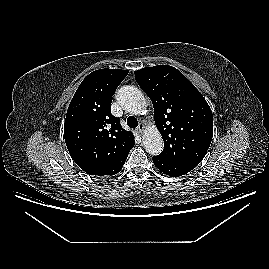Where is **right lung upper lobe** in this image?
Masks as SVG:
<instances>
[{"mask_svg":"<svg viewBox=\"0 0 269 269\" xmlns=\"http://www.w3.org/2000/svg\"><path fill=\"white\" fill-rule=\"evenodd\" d=\"M127 70L99 69L82 81L67 110L64 138L75 163L87 174L112 176L125 163L134 136L111 114V102Z\"/></svg>","mask_w":269,"mask_h":269,"instance_id":"obj_1","label":"right lung upper lobe"}]
</instances>
